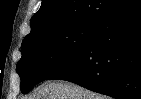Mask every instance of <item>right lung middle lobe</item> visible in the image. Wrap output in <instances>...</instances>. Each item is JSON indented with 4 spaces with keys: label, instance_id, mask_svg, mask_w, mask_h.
I'll list each match as a JSON object with an SVG mask.
<instances>
[{
    "label": "right lung middle lobe",
    "instance_id": "1",
    "mask_svg": "<svg viewBox=\"0 0 141 99\" xmlns=\"http://www.w3.org/2000/svg\"><path fill=\"white\" fill-rule=\"evenodd\" d=\"M100 21H81L22 43L16 70L22 93L49 79L70 62L94 36Z\"/></svg>",
    "mask_w": 141,
    "mask_h": 99
}]
</instances>
